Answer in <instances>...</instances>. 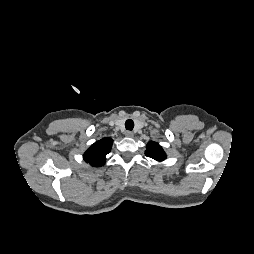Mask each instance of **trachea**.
Wrapping results in <instances>:
<instances>
[{"label": "trachea", "instance_id": "obj_1", "mask_svg": "<svg viewBox=\"0 0 254 254\" xmlns=\"http://www.w3.org/2000/svg\"><path fill=\"white\" fill-rule=\"evenodd\" d=\"M125 128H126L127 130L132 131V129L134 128V122H133V120L128 119V120L125 122Z\"/></svg>", "mask_w": 254, "mask_h": 254}]
</instances>
